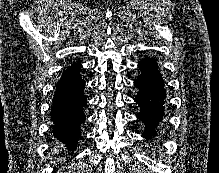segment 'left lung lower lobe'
Instances as JSON below:
<instances>
[{"label": "left lung lower lobe", "instance_id": "0a47b994", "mask_svg": "<svg viewBox=\"0 0 219 173\" xmlns=\"http://www.w3.org/2000/svg\"><path fill=\"white\" fill-rule=\"evenodd\" d=\"M138 67L141 74L134 82L139 89L135 101L140 105L141 110L137 118L145 124L144 137L151 139L156 135V126L163 117L166 90L154 59L146 57Z\"/></svg>", "mask_w": 219, "mask_h": 173}]
</instances>
